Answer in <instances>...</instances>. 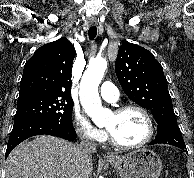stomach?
<instances>
[{"mask_svg": "<svg viewBox=\"0 0 194 178\" xmlns=\"http://www.w3.org/2000/svg\"><path fill=\"white\" fill-rule=\"evenodd\" d=\"M121 178H158L162 171L159 156L149 149H139L128 154L107 159Z\"/></svg>", "mask_w": 194, "mask_h": 178, "instance_id": "1", "label": "stomach"}]
</instances>
